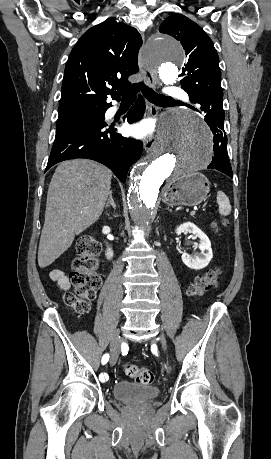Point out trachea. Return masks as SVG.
<instances>
[{"label":"trachea","instance_id":"obj_1","mask_svg":"<svg viewBox=\"0 0 271 459\" xmlns=\"http://www.w3.org/2000/svg\"><path fill=\"white\" fill-rule=\"evenodd\" d=\"M116 94L123 97V102H134L136 100V94L142 90L144 97H146L150 102L156 105H162L171 97H165V95H160L159 93L154 92L151 88L147 87L143 82L135 83L129 88H118Z\"/></svg>","mask_w":271,"mask_h":459}]
</instances>
